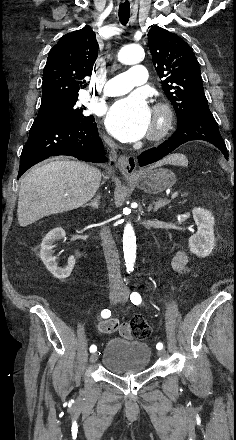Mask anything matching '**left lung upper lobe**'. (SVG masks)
Returning a JSON list of instances; mask_svg holds the SVG:
<instances>
[{"label": "left lung upper lobe", "instance_id": "obj_1", "mask_svg": "<svg viewBox=\"0 0 236 440\" xmlns=\"http://www.w3.org/2000/svg\"><path fill=\"white\" fill-rule=\"evenodd\" d=\"M148 46L179 125L193 110L208 106L198 61L182 38L156 25L148 32Z\"/></svg>", "mask_w": 236, "mask_h": 440}]
</instances>
